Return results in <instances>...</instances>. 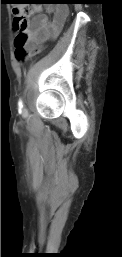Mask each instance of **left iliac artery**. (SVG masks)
<instances>
[{"label": "left iliac artery", "instance_id": "44dca946", "mask_svg": "<svg viewBox=\"0 0 122 257\" xmlns=\"http://www.w3.org/2000/svg\"><path fill=\"white\" fill-rule=\"evenodd\" d=\"M18 106H19V108H22V107H23L22 100H19V102H18Z\"/></svg>", "mask_w": 122, "mask_h": 257}]
</instances>
